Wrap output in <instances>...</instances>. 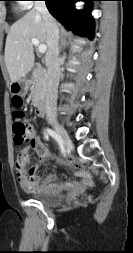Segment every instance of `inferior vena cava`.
<instances>
[{"mask_svg": "<svg viewBox=\"0 0 133 253\" xmlns=\"http://www.w3.org/2000/svg\"><path fill=\"white\" fill-rule=\"evenodd\" d=\"M34 9L41 14L47 30L48 51L45 57L48 75L45 103L46 117L56 119L57 89L60 79L59 28L55 19L49 13L45 1H35Z\"/></svg>", "mask_w": 133, "mask_h": 253, "instance_id": "inferior-vena-cava-1", "label": "inferior vena cava"}]
</instances>
